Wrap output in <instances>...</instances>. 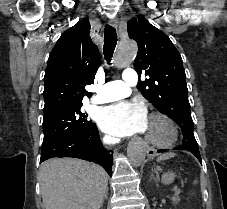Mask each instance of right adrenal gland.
<instances>
[{"label":"right adrenal gland","instance_id":"2a0ac1e0","mask_svg":"<svg viewBox=\"0 0 227 209\" xmlns=\"http://www.w3.org/2000/svg\"><path fill=\"white\" fill-rule=\"evenodd\" d=\"M107 195H108V193H106V195L104 197L105 201H107V199H108Z\"/></svg>","mask_w":227,"mask_h":209}]
</instances>
